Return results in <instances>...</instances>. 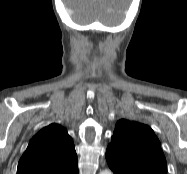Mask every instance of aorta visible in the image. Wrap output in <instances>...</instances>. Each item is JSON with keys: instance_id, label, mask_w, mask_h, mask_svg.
Here are the masks:
<instances>
[{"instance_id": "1", "label": "aorta", "mask_w": 187, "mask_h": 174, "mask_svg": "<svg viewBox=\"0 0 187 174\" xmlns=\"http://www.w3.org/2000/svg\"><path fill=\"white\" fill-rule=\"evenodd\" d=\"M100 174H112V172L106 169V170H103Z\"/></svg>"}]
</instances>
